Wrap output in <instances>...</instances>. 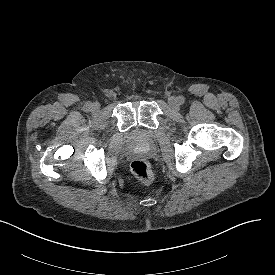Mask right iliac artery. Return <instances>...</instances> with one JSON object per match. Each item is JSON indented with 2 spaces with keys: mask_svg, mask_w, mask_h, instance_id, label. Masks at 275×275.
I'll list each match as a JSON object with an SVG mask.
<instances>
[{
  "mask_svg": "<svg viewBox=\"0 0 275 275\" xmlns=\"http://www.w3.org/2000/svg\"><path fill=\"white\" fill-rule=\"evenodd\" d=\"M85 111H90L91 110V103L87 102L84 106Z\"/></svg>",
  "mask_w": 275,
  "mask_h": 275,
  "instance_id": "82829eb1",
  "label": "right iliac artery"
}]
</instances>
